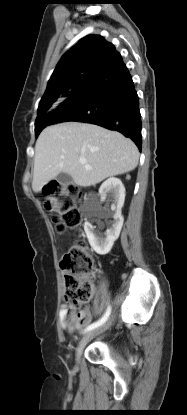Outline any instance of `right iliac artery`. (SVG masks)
Wrapping results in <instances>:
<instances>
[{
    "label": "right iliac artery",
    "mask_w": 187,
    "mask_h": 415,
    "mask_svg": "<svg viewBox=\"0 0 187 415\" xmlns=\"http://www.w3.org/2000/svg\"><path fill=\"white\" fill-rule=\"evenodd\" d=\"M110 313H111V307H110V305H109V306L107 307L106 312H105V314L103 315V317H102L100 320H98V321H96V322H94V323L90 324L89 326H87V327H86V329L84 330V332L91 331V330H93V329H95V328H97V327L101 326L102 324H104V323L107 321V319L109 318Z\"/></svg>",
    "instance_id": "obj_1"
}]
</instances>
